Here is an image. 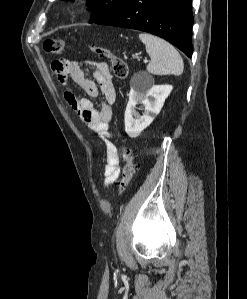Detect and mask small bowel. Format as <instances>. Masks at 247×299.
<instances>
[{"label": "small bowel", "mask_w": 247, "mask_h": 299, "mask_svg": "<svg viewBox=\"0 0 247 299\" xmlns=\"http://www.w3.org/2000/svg\"><path fill=\"white\" fill-rule=\"evenodd\" d=\"M87 66L92 67L94 80L86 78ZM52 70L61 84L65 85L70 77L88 96L101 98V107L97 109L88 98L78 97L71 90L64 92V98L68 105L104 141L106 152V164L103 169L104 185H111L119 177L120 165L117 147L110 140L109 133L112 105L116 100V90L109 65L106 62L87 61L82 63L59 59L52 63Z\"/></svg>", "instance_id": "c3829d8e"}]
</instances>
